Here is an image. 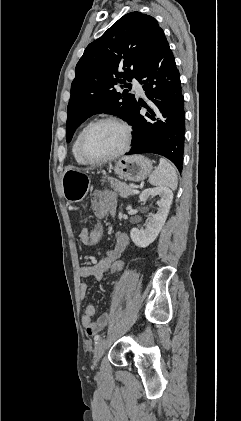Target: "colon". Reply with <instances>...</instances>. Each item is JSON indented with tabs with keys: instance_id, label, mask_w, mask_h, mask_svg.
I'll list each match as a JSON object with an SVG mask.
<instances>
[{
	"instance_id": "obj_1",
	"label": "colon",
	"mask_w": 241,
	"mask_h": 421,
	"mask_svg": "<svg viewBox=\"0 0 241 421\" xmlns=\"http://www.w3.org/2000/svg\"><path fill=\"white\" fill-rule=\"evenodd\" d=\"M103 234H104L103 226L98 220H96L93 223L92 227L89 229L86 245L91 246V247L98 245L103 238ZM124 268H125V262L122 259H117L113 261L112 264L110 265L108 269V273L110 275H119L123 272Z\"/></svg>"
}]
</instances>
